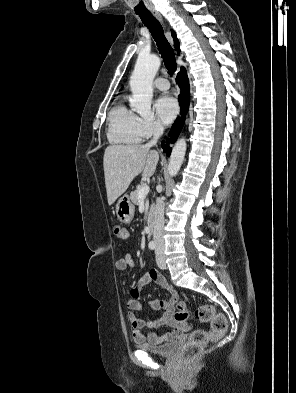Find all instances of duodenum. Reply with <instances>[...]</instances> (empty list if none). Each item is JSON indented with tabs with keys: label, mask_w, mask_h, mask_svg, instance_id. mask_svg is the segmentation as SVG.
Returning <instances> with one entry per match:
<instances>
[{
	"label": "duodenum",
	"mask_w": 296,
	"mask_h": 393,
	"mask_svg": "<svg viewBox=\"0 0 296 393\" xmlns=\"http://www.w3.org/2000/svg\"><path fill=\"white\" fill-rule=\"evenodd\" d=\"M153 231H154L153 224L149 223V225H148V237H151L153 235Z\"/></svg>",
	"instance_id": "duodenum-1"
}]
</instances>
